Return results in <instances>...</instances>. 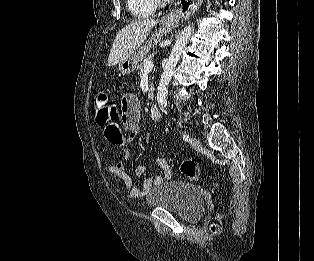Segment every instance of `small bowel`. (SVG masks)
Returning a JSON list of instances; mask_svg holds the SVG:
<instances>
[{"label": "small bowel", "instance_id": "c3829d8e", "mask_svg": "<svg viewBox=\"0 0 314 261\" xmlns=\"http://www.w3.org/2000/svg\"><path fill=\"white\" fill-rule=\"evenodd\" d=\"M140 108L138 97L133 93H126L122 97L120 110L122 122L129 130L127 138L125 139V129L124 126L120 124L119 120H110L109 124H105V129L103 130L105 140H108V147L122 148L125 161H129L131 158L128 144L140 134V128L138 126ZM150 166H158L162 170V175L155 174L146 177L141 187L134 184L132 177L126 170L124 161L116 162L114 165L110 166L109 170L115 178L122 182L128 197L138 199L147 195L152 187L158 186L164 180H169L172 177V169L166 159L162 157L155 158L150 164H141L134 167L133 175L137 177L143 176Z\"/></svg>", "mask_w": 314, "mask_h": 261}]
</instances>
